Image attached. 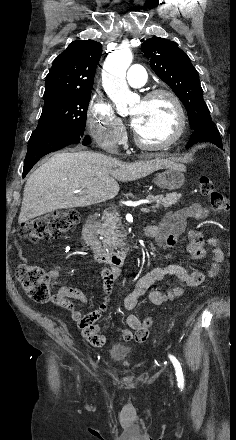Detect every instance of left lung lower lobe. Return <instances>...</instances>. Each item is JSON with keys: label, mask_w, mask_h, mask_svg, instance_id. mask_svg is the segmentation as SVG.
<instances>
[{"label": "left lung lower lobe", "mask_w": 236, "mask_h": 440, "mask_svg": "<svg viewBox=\"0 0 236 440\" xmlns=\"http://www.w3.org/2000/svg\"><path fill=\"white\" fill-rule=\"evenodd\" d=\"M198 142H210L222 149L221 136L212 122L202 125L194 130L193 135L187 145V148Z\"/></svg>", "instance_id": "0a47b994"}]
</instances>
